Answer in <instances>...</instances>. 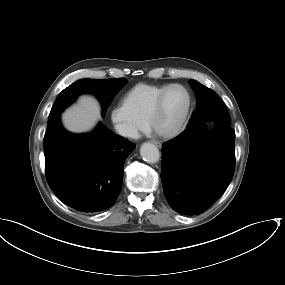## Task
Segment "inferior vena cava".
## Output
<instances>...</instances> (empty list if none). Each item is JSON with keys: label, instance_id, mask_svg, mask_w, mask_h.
Returning a JSON list of instances; mask_svg holds the SVG:
<instances>
[{"label": "inferior vena cava", "instance_id": "inferior-vena-cava-1", "mask_svg": "<svg viewBox=\"0 0 285 285\" xmlns=\"http://www.w3.org/2000/svg\"><path fill=\"white\" fill-rule=\"evenodd\" d=\"M117 131L121 136L124 137L138 138L139 136V133L135 127L125 123L117 125Z\"/></svg>", "mask_w": 285, "mask_h": 285}]
</instances>
